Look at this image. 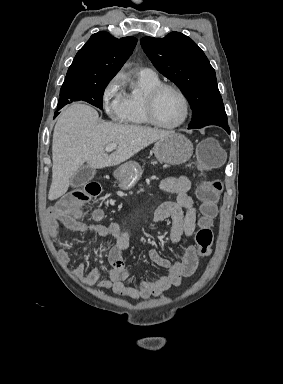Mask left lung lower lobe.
Masks as SVG:
<instances>
[{"instance_id":"obj_1","label":"left lung lower lobe","mask_w":283,"mask_h":384,"mask_svg":"<svg viewBox=\"0 0 283 384\" xmlns=\"http://www.w3.org/2000/svg\"><path fill=\"white\" fill-rule=\"evenodd\" d=\"M218 126H221L223 129L227 131L228 134H230V129L227 124H219Z\"/></svg>"}]
</instances>
